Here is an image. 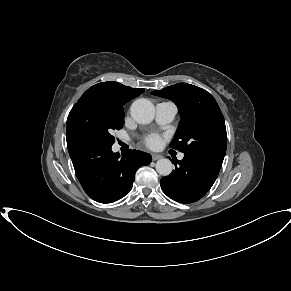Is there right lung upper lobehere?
<instances>
[{"label":"right lung upper lobe","instance_id":"obj_1","mask_svg":"<svg viewBox=\"0 0 291 291\" xmlns=\"http://www.w3.org/2000/svg\"><path fill=\"white\" fill-rule=\"evenodd\" d=\"M143 92V88L133 89L118 82H103L90 87L82 97L98 98L122 107L126 102Z\"/></svg>","mask_w":291,"mask_h":291}]
</instances>
